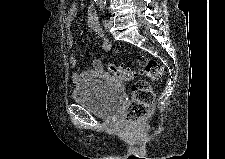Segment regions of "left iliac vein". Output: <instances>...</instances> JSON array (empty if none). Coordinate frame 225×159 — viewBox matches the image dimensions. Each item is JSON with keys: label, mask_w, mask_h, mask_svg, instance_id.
I'll return each mask as SVG.
<instances>
[{"label": "left iliac vein", "mask_w": 225, "mask_h": 159, "mask_svg": "<svg viewBox=\"0 0 225 159\" xmlns=\"http://www.w3.org/2000/svg\"><path fill=\"white\" fill-rule=\"evenodd\" d=\"M112 25H113V19L110 18V19L108 20V24L105 26V28L109 30V29L112 27Z\"/></svg>", "instance_id": "obj_1"}]
</instances>
